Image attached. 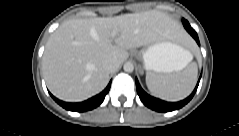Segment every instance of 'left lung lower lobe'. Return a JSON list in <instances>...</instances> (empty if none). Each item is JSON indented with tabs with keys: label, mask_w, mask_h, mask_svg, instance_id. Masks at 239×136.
Instances as JSON below:
<instances>
[{
	"label": "left lung lower lobe",
	"mask_w": 239,
	"mask_h": 136,
	"mask_svg": "<svg viewBox=\"0 0 239 136\" xmlns=\"http://www.w3.org/2000/svg\"><path fill=\"white\" fill-rule=\"evenodd\" d=\"M182 23H183L185 29L189 32V34L196 40L198 45H200L198 35L195 32V30L190 26L189 22L185 19H182ZM200 78H201V76H200ZM200 78H199L198 83H197L194 91L192 92V94L189 97H187L186 99L179 101V102H166V101H163V100H160V99H157V98H154V97L148 95L141 88L137 79H136V89H137V93L144 105H146L150 109L158 111V112H170V111L182 108L184 105H186L192 99V97L194 96V94L198 88Z\"/></svg>",
	"instance_id": "obj_1"
}]
</instances>
